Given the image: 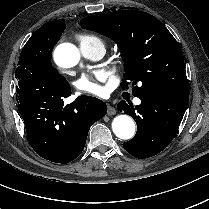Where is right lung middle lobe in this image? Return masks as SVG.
<instances>
[{"mask_svg": "<svg viewBox=\"0 0 209 209\" xmlns=\"http://www.w3.org/2000/svg\"><path fill=\"white\" fill-rule=\"evenodd\" d=\"M65 27L62 19L35 31L20 54L19 66L15 71L17 80L33 76L58 84H68L67 80L50 63L52 50Z\"/></svg>", "mask_w": 209, "mask_h": 209, "instance_id": "right-lung-middle-lobe-1", "label": "right lung middle lobe"}]
</instances>
